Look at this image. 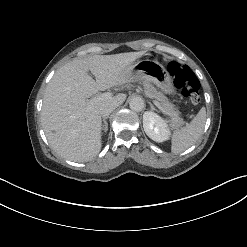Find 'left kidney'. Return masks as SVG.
Listing matches in <instances>:
<instances>
[{
    "mask_svg": "<svg viewBox=\"0 0 247 247\" xmlns=\"http://www.w3.org/2000/svg\"><path fill=\"white\" fill-rule=\"evenodd\" d=\"M143 127L147 136L156 142H163L169 138L170 131L166 121L154 112L144 113Z\"/></svg>",
    "mask_w": 247,
    "mask_h": 247,
    "instance_id": "obj_1",
    "label": "left kidney"
}]
</instances>
